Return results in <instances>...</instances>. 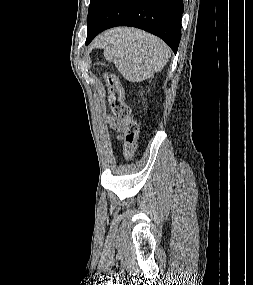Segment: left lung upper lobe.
I'll return each instance as SVG.
<instances>
[{
  "mask_svg": "<svg viewBox=\"0 0 253 285\" xmlns=\"http://www.w3.org/2000/svg\"><path fill=\"white\" fill-rule=\"evenodd\" d=\"M109 0H91L88 10L87 31L94 25Z\"/></svg>",
  "mask_w": 253,
  "mask_h": 285,
  "instance_id": "left-lung-upper-lobe-1",
  "label": "left lung upper lobe"
}]
</instances>
